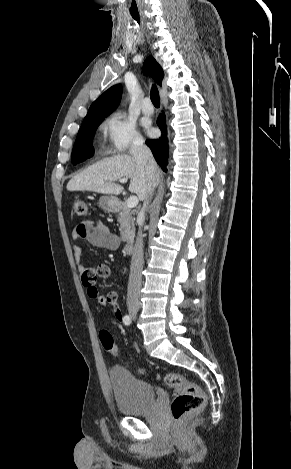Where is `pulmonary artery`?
Wrapping results in <instances>:
<instances>
[{"instance_id":"pulmonary-artery-1","label":"pulmonary artery","mask_w":291,"mask_h":469,"mask_svg":"<svg viewBox=\"0 0 291 469\" xmlns=\"http://www.w3.org/2000/svg\"><path fill=\"white\" fill-rule=\"evenodd\" d=\"M142 112L146 115H151L154 112L150 98H145L141 106Z\"/></svg>"}]
</instances>
